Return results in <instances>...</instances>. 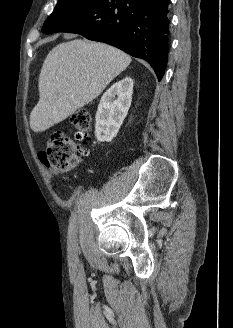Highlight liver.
<instances>
[{
	"instance_id": "1",
	"label": "liver",
	"mask_w": 233,
	"mask_h": 328,
	"mask_svg": "<svg viewBox=\"0 0 233 328\" xmlns=\"http://www.w3.org/2000/svg\"><path fill=\"white\" fill-rule=\"evenodd\" d=\"M123 51L76 39L54 47L42 65L30 127L43 132L85 106L130 64Z\"/></svg>"
}]
</instances>
